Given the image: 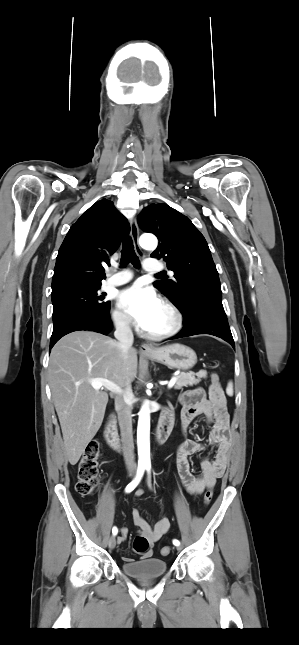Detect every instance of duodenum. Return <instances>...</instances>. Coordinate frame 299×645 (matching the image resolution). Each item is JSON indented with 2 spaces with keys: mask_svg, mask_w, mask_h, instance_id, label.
I'll return each mask as SVG.
<instances>
[{
  "mask_svg": "<svg viewBox=\"0 0 299 645\" xmlns=\"http://www.w3.org/2000/svg\"><path fill=\"white\" fill-rule=\"evenodd\" d=\"M173 428V416L169 410H165L159 420V424L156 431L157 442L162 444L164 443L170 435V432ZM104 436L107 443L115 450H121V441L116 428L115 417L110 416L104 431Z\"/></svg>",
  "mask_w": 299,
  "mask_h": 645,
  "instance_id": "1",
  "label": "duodenum"
}]
</instances>
